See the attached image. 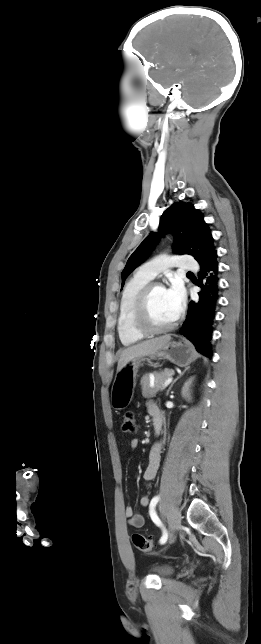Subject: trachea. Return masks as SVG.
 Masks as SVG:
<instances>
[{
    "label": "trachea",
    "mask_w": 261,
    "mask_h": 644,
    "mask_svg": "<svg viewBox=\"0 0 261 644\" xmlns=\"http://www.w3.org/2000/svg\"><path fill=\"white\" fill-rule=\"evenodd\" d=\"M187 274H192L191 272H188Z\"/></svg>",
    "instance_id": "trachea-1"
}]
</instances>
